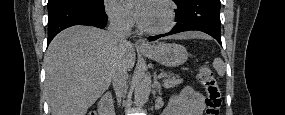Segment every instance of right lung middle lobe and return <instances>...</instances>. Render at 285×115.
<instances>
[{
	"mask_svg": "<svg viewBox=\"0 0 285 115\" xmlns=\"http://www.w3.org/2000/svg\"><path fill=\"white\" fill-rule=\"evenodd\" d=\"M78 5L92 9H103V0H48V13L65 6Z\"/></svg>",
	"mask_w": 285,
	"mask_h": 115,
	"instance_id": "obj_1",
	"label": "right lung middle lobe"
}]
</instances>
